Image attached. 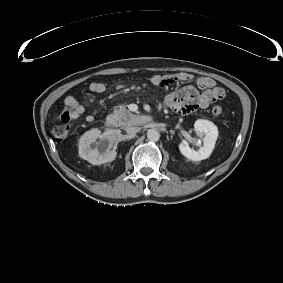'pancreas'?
Here are the masks:
<instances>
[{
  "label": "pancreas",
  "mask_w": 283,
  "mask_h": 283,
  "mask_svg": "<svg viewBox=\"0 0 283 283\" xmlns=\"http://www.w3.org/2000/svg\"><path fill=\"white\" fill-rule=\"evenodd\" d=\"M112 117L114 118L115 126L121 128L141 124V118L126 108L115 109L112 113Z\"/></svg>",
  "instance_id": "pancreas-1"
}]
</instances>
